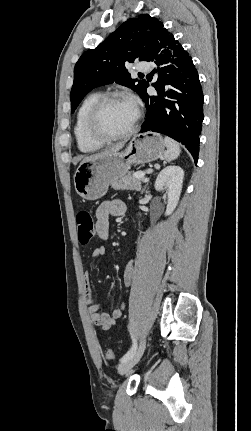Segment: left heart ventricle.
I'll use <instances>...</instances> for the list:
<instances>
[{"instance_id": "obj_1", "label": "left heart ventricle", "mask_w": 251, "mask_h": 431, "mask_svg": "<svg viewBox=\"0 0 251 431\" xmlns=\"http://www.w3.org/2000/svg\"><path fill=\"white\" fill-rule=\"evenodd\" d=\"M136 117V107L128 100L109 103L103 109L98 126L109 135H116L127 131Z\"/></svg>"}]
</instances>
